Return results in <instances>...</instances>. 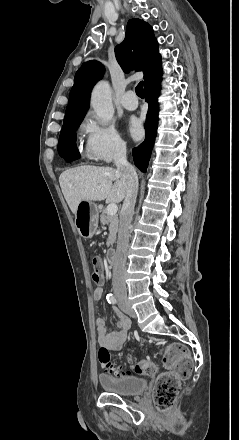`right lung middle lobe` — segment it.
Listing matches in <instances>:
<instances>
[{
    "label": "right lung middle lobe",
    "instance_id": "right-lung-middle-lobe-1",
    "mask_svg": "<svg viewBox=\"0 0 239 440\" xmlns=\"http://www.w3.org/2000/svg\"><path fill=\"white\" fill-rule=\"evenodd\" d=\"M83 118L84 116H81L63 124L58 143L59 154L65 150L76 147V130Z\"/></svg>",
    "mask_w": 239,
    "mask_h": 440
}]
</instances>
